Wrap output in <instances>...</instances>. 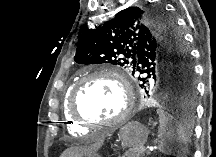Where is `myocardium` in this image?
Returning <instances> with one entry per match:
<instances>
[{
  "label": "myocardium",
  "instance_id": "1",
  "mask_svg": "<svg viewBox=\"0 0 216 157\" xmlns=\"http://www.w3.org/2000/svg\"><path fill=\"white\" fill-rule=\"evenodd\" d=\"M97 77H106L114 80L119 87L121 88V91L123 93L124 97V108L119 114L118 117H116L113 120H108V121H98V120H93L90 118H87L83 116L77 106V99L79 96V93L82 89V87L91 79L97 78ZM134 108V98H133V93L130 84L126 80V78L119 73L117 70L113 68H102V69H97L92 71L91 73L83 76L80 78L73 86L69 98V103H68V110L71 115V117L78 123H80L83 126L86 127H101V126H107V127H114V126H119L123 123H125Z\"/></svg>",
  "mask_w": 216,
  "mask_h": 157
}]
</instances>
